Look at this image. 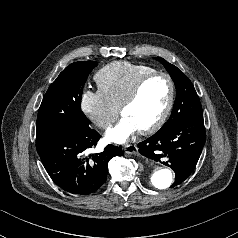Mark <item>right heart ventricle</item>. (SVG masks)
<instances>
[{"instance_id":"right-heart-ventricle-1","label":"right heart ventricle","mask_w":238,"mask_h":238,"mask_svg":"<svg viewBox=\"0 0 238 238\" xmlns=\"http://www.w3.org/2000/svg\"><path fill=\"white\" fill-rule=\"evenodd\" d=\"M155 71L142 64L114 61L102 67L94 79L98 89L114 106L119 107L137 81Z\"/></svg>"}]
</instances>
